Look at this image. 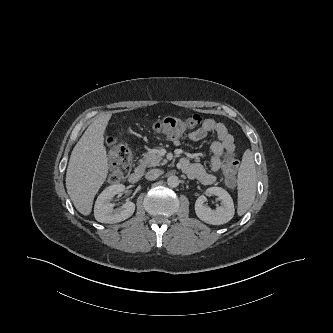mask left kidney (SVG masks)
Masks as SVG:
<instances>
[{"instance_id":"obj_1","label":"left kidney","mask_w":333,"mask_h":333,"mask_svg":"<svg viewBox=\"0 0 333 333\" xmlns=\"http://www.w3.org/2000/svg\"><path fill=\"white\" fill-rule=\"evenodd\" d=\"M209 195H216L221 200V205L215 210L204 204L205 196H200L195 203L197 217L205 223L222 225L229 222L235 213L234 203L229 193L220 187H210L206 190Z\"/></svg>"}]
</instances>
